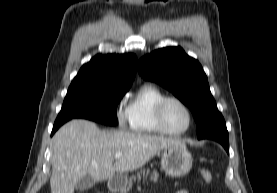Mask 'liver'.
I'll return each instance as SVG.
<instances>
[{"label": "liver", "instance_id": "liver-1", "mask_svg": "<svg viewBox=\"0 0 277 193\" xmlns=\"http://www.w3.org/2000/svg\"><path fill=\"white\" fill-rule=\"evenodd\" d=\"M185 145L180 139L126 131H100L95 123L76 119L52 138L51 193H74L78 181L112 179L145 165L161 150ZM115 153H122L116 159ZM114 158L116 159L113 164Z\"/></svg>", "mask_w": 277, "mask_h": 193}]
</instances>
